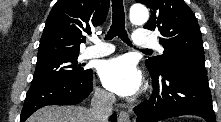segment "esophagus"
<instances>
[{"label": "esophagus", "mask_w": 221, "mask_h": 122, "mask_svg": "<svg viewBox=\"0 0 221 122\" xmlns=\"http://www.w3.org/2000/svg\"><path fill=\"white\" fill-rule=\"evenodd\" d=\"M119 122H130L129 114L126 111H120L118 115Z\"/></svg>", "instance_id": "1"}]
</instances>
